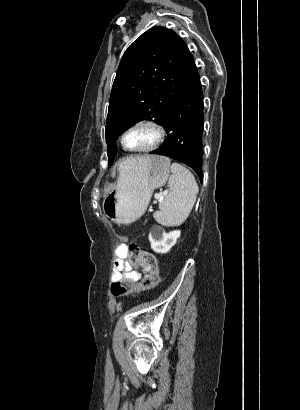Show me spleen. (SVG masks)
I'll return each instance as SVG.
<instances>
[{
    "mask_svg": "<svg viewBox=\"0 0 300 410\" xmlns=\"http://www.w3.org/2000/svg\"><path fill=\"white\" fill-rule=\"evenodd\" d=\"M125 163H121L122 171ZM172 176L169 178V193L159 203V211L153 217L161 225L178 226L189 216L194 206L199 188L194 175L178 163L171 165Z\"/></svg>",
    "mask_w": 300,
    "mask_h": 410,
    "instance_id": "1",
    "label": "spleen"
}]
</instances>
